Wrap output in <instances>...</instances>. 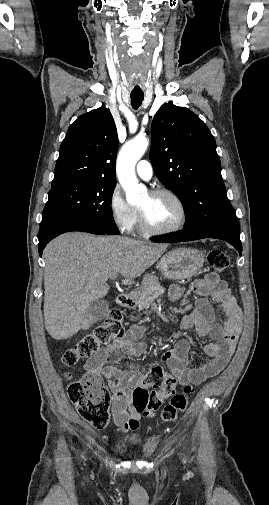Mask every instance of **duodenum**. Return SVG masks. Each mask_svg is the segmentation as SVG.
I'll list each match as a JSON object with an SVG mask.
<instances>
[{"label":"duodenum","mask_w":269,"mask_h":505,"mask_svg":"<svg viewBox=\"0 0 269 505\" xmlns=\"http://www.w3.org/2000/svg\"><path fill=\"white\" fill-rule=\"evenodd\" d=\"M116 302L119 306L131 308L135 305L134 298L129 293H122L116 297Z\"/></svg>","instance_id":"duodenum-1"}]
</instances>
